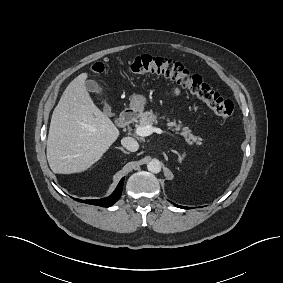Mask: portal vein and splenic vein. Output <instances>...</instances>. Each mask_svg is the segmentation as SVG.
<instances>
[{
    "instance_id": "18ae733b",
    "label": "portal vein and splenic vein",
    "mask_w": 283,
    "mask_h": 283,
    "mask_svg": "<svg viewBox=\"0 0 283 283\" xmlns=\"http://www.w3.org/2000/svg\"><path fill=\"white\" fill-rule=\"evenodd\" d=\"M153 132H156L158 134L164 133V131L161 130L160 128H155V127H152V126H149V125H147V126H138L136 128V134L139 135V136H142V137L149 136Z\"/></svg>"
}]
</instances>
